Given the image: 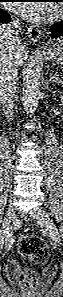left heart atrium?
I'll use <instances>...</instances> for the list:
<instances>
[{
  "mask_svg": "<svg viewBox=\"0 0 63 297\" xmlns=\"http://www.w3.org/2000/svg\"><path fill=\"white\" fill-rule=\"evenodd\" d=\"M9 8L13 12L33 21L43 20L51 13V9L47 4L11 3Z\"/></svg>",
  "mask_w": 63,
  "mask_h": 297,
  "instance_id": "obj_1",
  "label": "left heart atrium"
}]
</instances>
